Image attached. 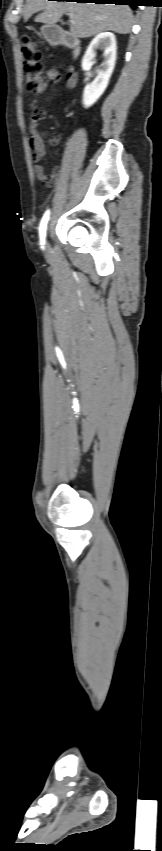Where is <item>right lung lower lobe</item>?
Returning a JSON list of instances; mask_svg holds the SVG:
<instances>
[{"mask_svg":"<svg viewBox=\"0 0 162 851\" xmlns=\"http://www.w3.org/2000/svg\"><path fill=\"white\" fill-rule=\"evenodd\" d=\"M69 1V0H65ZM76 2H87V3H97V4H116V5H130L137 6L138 0H74Z\"/></svg>","mask_w":162,"mask_h":851,"instance_id":"obj_1","label":"right lung lower lobe"}]
</instances>
